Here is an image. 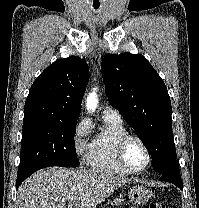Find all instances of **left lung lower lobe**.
<instances>
[{
    "instance_id": "0a47b994",
    "label": "left lung lower lobe",
    "mask_w": 199,
    "mask_h": 208,
    "mask_svg": "<svg viewBox=\"0 0 199 208\" xmlns=\"http://www.w3.org/2000/svg\"><path fill=\"white\" fill-rule=\"evenodd\" d=\"M160 180L173 183L176 186H178L180 189H183V183H182L179 169H175V170L162 173Z\"/></svg>"
}]
</instances>
